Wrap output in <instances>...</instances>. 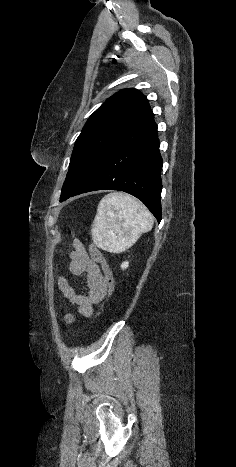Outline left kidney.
<instances>
[{"mask_svg":"<svg viewBox=\"0 0 236 467\" xmlns=\"http://www.w3.org/2000/svg\"><path fill=\"white\" fill-rule=\"evenodd\" d=\"M128 266H129V262L126 261V262L122 263L121 268L126 269V268H128Z\"/></svg>","mask_w":236,"mask_h":467,"instance_id":"5707ae66","label":"left kidney"}]
</instances>
